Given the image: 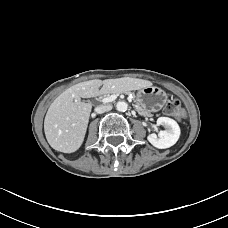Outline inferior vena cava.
<instances>
[{
	"mask_svg": "<svg viewBox=\"0 0 228 228\" xmlns=\"http://www.w3.org/2000/svg\"><path fill=\"white\" fill-rule=\"evenodd\" d=\"M112 109V106L109 105V104H106V105H100V106H97L95 108V111L97 113H104V112H107V111H110Z\"/></svg>",
	"mask_w": 228,
	"mask_h": 228,
	"instance_id": "1",
	"label": "inferior vena cava"
}]
</instances>
